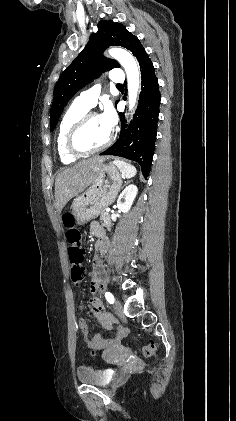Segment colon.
<instances>
[{"label": "colon", "instance_id": "colon-1", "mask_svg": "<svg viewBox=\"0 0 236 421\" xmlns=\"http://www.w3.org/2000/svg\"><path fill=\"white\" fill-rule=\"evenodd\" d=\"M63 224L68 229L67 240L69 243L68 256L71 263V280L75 284H79L85 276V268L82 266L85 250L82 246L81 234L75 227V218L70 212H66L62 217ZM156 352V344L150 342L142 346V355L149 357Z\"/></svg>", "mask_w": 236, "mask_h": 421}]
</instances>
